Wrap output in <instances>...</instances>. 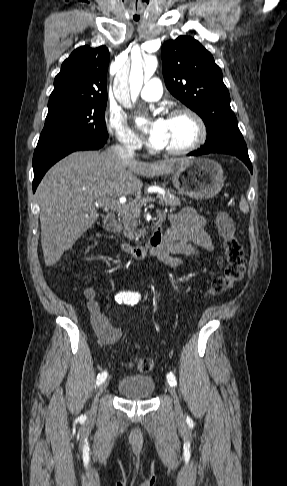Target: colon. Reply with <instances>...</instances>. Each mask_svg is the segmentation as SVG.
Instances as JSON below:
<instances>
[{
  "instance_id": "1",
  "label": "colon",
  "mask_w": 287,
  "mask_h": 486,
  "mask_svg": "<svg viewBox=\"0 0 287 486\" xmlns=\"http://www.w3.org/2000/svg\"><path fill=\"white\" fill-rule=\"evenodd\" d=\"M216 226L222 240L226 265L223 272L213 279L208 290L210 295L222 294L241 280L246 262L242 244L235 234V228L230 217L225 213H220L217 217ZM133 366L141 373H149L154 368V361L151 358H139Z\"/></svg>"
}]
</instances>
